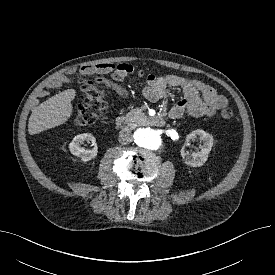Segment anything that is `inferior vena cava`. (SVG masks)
<instances>
[{"instance_id": "1", "label": "inferior vena cava", "mask_w": 275, "mask_h": 275, "mask_svg": "<svg viewBox=\"0 0 275 275\" xmlns=\"http://www.w3.org/2000/svg\"><path fill=\"white\" fill-rule=\"evenodd\" d=\"M119 142L123 145L132 142V134L130 131L121 132L119 134Z\"/></svg>"}]
</instances>
